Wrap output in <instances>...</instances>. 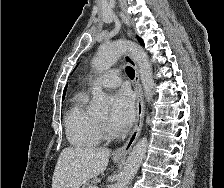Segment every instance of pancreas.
Listing matches in <instances>:
<instances>
[{"label": "pancreas", "mask_w": 224, "mask_h": 188, "mask_svg": "<svg viewBox=\"0 0 224 188\" xmlns=\"http://www.w3.org/2000/svg\"><path fill=\"white\" fill-rule=\"evenodd\" d=\"M95 184V180H92L90 182H86L82 188H91L92 186H94Z\"/></svg>", "instance_id": "pancreas-1"}]
</instances>
